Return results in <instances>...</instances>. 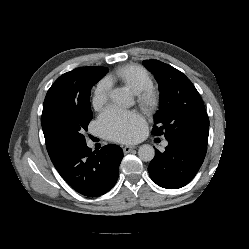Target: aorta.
<instances>
[{"instance_id": "aorta-1", "label": "aorta", "mask_w": 249, "mask_h": 249, "mask_svg": "<svg viewBox=\"0 0 249 249\" xmlns=\"http://www.w3.org/2000/svg\"><path fill=\"white\" fill-rule=\"evenodd\" d=\"M111 99L122 106H131L133 104V98L130 92L123 87L115 88L111 92ZM138 156L142 161L149 162L152 161L155 156L154 148L149 144L141 145L138 149Z\"/></svg>"}]
</instances>
